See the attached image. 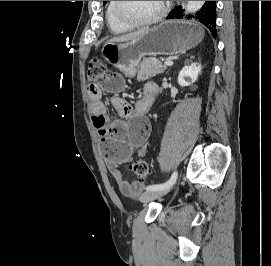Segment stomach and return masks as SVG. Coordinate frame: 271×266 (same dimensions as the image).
I'll return each mask as SVG.
<instances>
[{
    "label": "stomach",
    "instance_id": "obj_1",
    "mask_svg": "<svg viewBox=\"0 0 271 266\" xmlns=\"http://www.w3.org/2000/svg\"><path fill=\"white\" fill-rule=\"evenodd\" d=\"M204 37L202 27L194 22L170 20L150 28L126 43H106L103 58L126 75H134L146 55H173L197 46Z\"/></svg>",
    "mask_w": 271,
    "mask_h": 266
}]
</instances>
